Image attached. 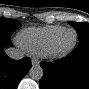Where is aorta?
I'll use <instances>...</instances> for the list:
<instances>
[{
    "mask_svg": "<svg viewBox=\"0 0 89 89\" xmlns=\"http://www.w3.org/2000/svg\"><path fill=\"white\" fill-rule=\"evenodd\" d=\"M29 75L34 80H40L43 76V69L41 66L35 65L30 69Z\"/></svg>",
    "mask_w": 89,
    "mask_h": 89,
    "instance_id": "aorta-1",
    "label": "aorta"
}]
</instances>
